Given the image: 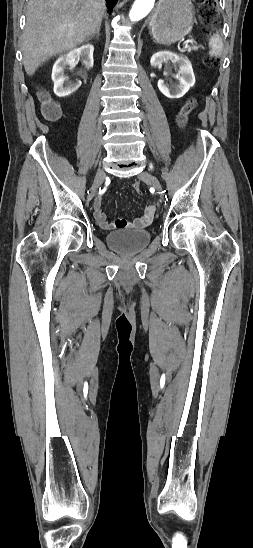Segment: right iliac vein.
<instances>
[{
    "label": "right iliac vein",
    "instance_id": "right-iliac-vein-1",
    "mask_svg": "<svg viewBox=\"0 0 253 548\" xmlns=\"http://www.w3.org/2000/svg\"><path fill=\"white\" fill-rule=\"evenodd\" d=\"M103 178H104V171L101 168H99L96 175H95L92 187H91L89 195H88L89 199H92L95 196L98 188L102 184Z\"/></svg>",
    "mask_w": 253,
    "mask_h": 548
}]
</instances>
